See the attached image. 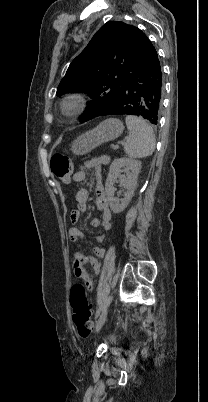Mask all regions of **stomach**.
<instances>
[{"label":"stomach","instance_id":"1","mask_svg":"<svg viewBox=\"0 0 208 402\" xmlns=\"http://www.w3.org/2000/svg\"><path fill=\"white\" fill-rule=\"evenodd\" d=\"M124 130V126L120 120L116 118H109V120H104L101 122L97 128L94 130H89L86 134L78 136L74 142L71 144V150L76 156H83L87 152H91L100 144L104 142H110V140H116L121 136Z\"/></svg>","mask_w":208,"mask_h":402}]
</instances>
